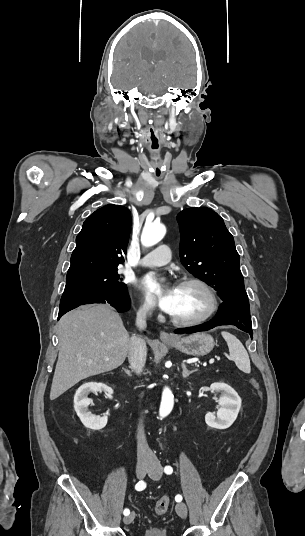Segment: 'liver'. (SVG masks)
Segmentation results:
<instances>
[{"instance_id":"liver-1","label":"liver","mask_w":305,"mask_h":536,"mask_svg":"<svg viewBox=\"0 0 305 536\" xmlns=\"http://www.w3.org/2000/svg\"><path fill=\"white\" fill-rule=\"evenodd\" d=\"M58 336L59 356L50 400L80 380L119 368L131 344L119 314L109 304H90L68 312L58 324Z\"/></svg>"}]
</instances>
